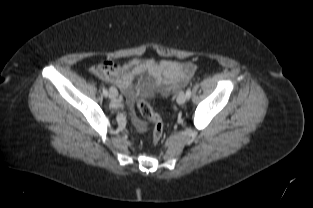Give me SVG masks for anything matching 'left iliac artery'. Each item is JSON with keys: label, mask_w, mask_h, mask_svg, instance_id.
Masks as SVG:
<instances>
[{"label": "left iliac artery", "mask_w": 313, "mask_h": 208, "mask_svg": "<svg viewBox=\"0 0 313 208\" xmlns=\"http://www.w3.org/2000/svg\"><path fill=\"white\" fill-rule=\"evenodd\" d=\"M190 96H191V88H188V89L186 90V97L189 99Z\"/></svg>", "instance_id": "left-iliac-artery-1"}]
</instances>
